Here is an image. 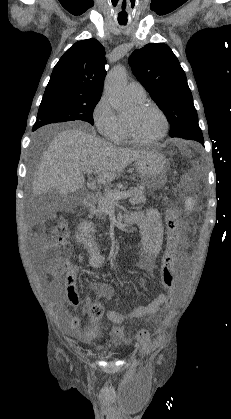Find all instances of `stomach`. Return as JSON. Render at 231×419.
I'll use <instances>...</instances> for the list:
<instances>
[{"label":"stomach","instance_id":"0dacf381","mask_svg":"<svg viewBox=\"0 0 231 419\" xmlns=\"http://www.w3.org/2000/svg\"><path fill=\"white\" fill-rule=\"evenodd\" d=\"M135 168L141 177L142 183L149 189L155 190L166 180L168 163L166 158L158 151L151 150L135 160Z\"/></svg>","mask_w":231,"mask_h":419}]
</instances>
